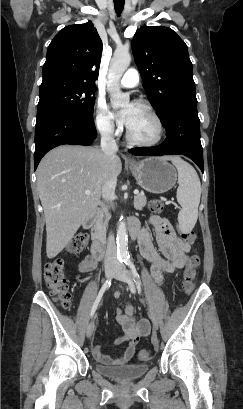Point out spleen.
I'll return each instance as SVG.
<instances>
[{"label":"spleen","instance_id":"spleen-1","mask_svg":"<svg viewBox=\"0 0 243 409\" xmlns=\"http://www.w3.org/2000/svg\"><path fill=\"white\" fill-rule=\"evenodd\" d=\"M178 171L177 200L181 205L178 214L179 227L182 232H190L198 218V206L201 197V183L195 169L180 157L170 158Z\"/></svg>","mask_w":243,"mask_h":409}]
</instances>
